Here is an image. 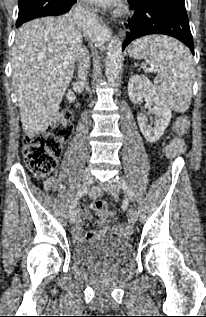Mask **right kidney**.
I'll return each instance as SVG.
<instances>
[{
	"mask_svg": "<svg viewBox=\"0 0 206 317\" xmlns=\"http://www.w3.org/2000/svg\"><path fill=\"white\" fill-rule=\"evenodd\" d=\"M67 100L69 101V103H72L75 101V95L72 91H68V93L66 94Z\"/></svg>",
	"mask_w": 206,
	"mask_h": 317,
	"instance_id": "1",
	"label": "right kidney"
}]
</instances>
